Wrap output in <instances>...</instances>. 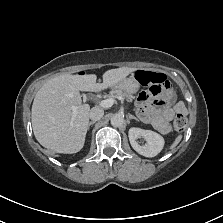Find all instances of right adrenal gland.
I'll return each mask as SVG.
<instances>
[{"label":"right adrenal gland","mask_w":223,"mask_h":223,"mask_svg":"<svg viewBox=\"0 0 223 223\" xmlns=\"http://www.w3.org/2000/svg\"><path fill=\"white\" fill-rule=\"evenodd\" d=\"M95 122H96V121H90V122L88 123L87 130H89L90 125L94 124Z\"/></svg>","instance_id":"1"}]
</instances>
